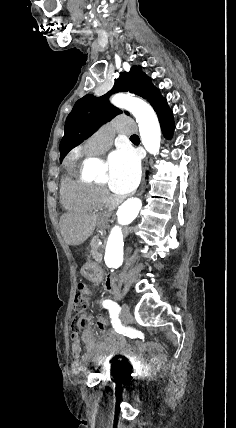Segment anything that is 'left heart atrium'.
<instances>
[{
    "label": "left heart atrium",
    "mask_w": 236,
    "mask_h": 428,
    "mask_svg": "<svg viewBox=\"0 0 236 428\" xmlns=\"http://www.w3.org/2000/svg\"><path fill=\"white\" fill-rule=\"evenodd\" d=\"M109 187L117 194L132 192L139 183L141 169L137 156L127 148L114 150L108 158Z\"/></svg>",
    "instance_id": "1"
}]
</instances>
